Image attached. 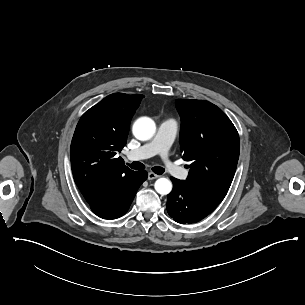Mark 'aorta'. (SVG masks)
I'll list each match as a JSON object with an SVG mask.
<instances>
[{"mask_svg":"<svg viewBox=\"0 0 305 305\" xmlns=\"http://www.w3.org/2000/svg\"><path fill=\"white\" fill-rule=\"evenodd\" d=\"M155 131V122L148 117L139 118L133 125V135L141 141L151 139L155 134ZM154 188L157 193L168 195L172 191V183L167 178H159L156 180Z\"/></svg>","mask_w":305,"mask_h":305,"instance_id":"obj_1","label":"aorta"}]
</instances>
